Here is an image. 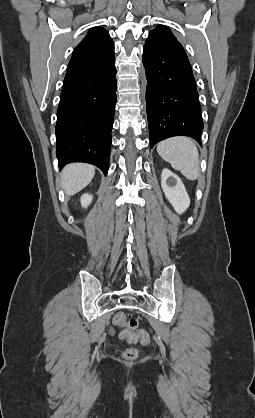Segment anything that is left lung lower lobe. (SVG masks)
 Segmentation results:
<instances>
[{
	"label": "left lung lower lobe",
	"mask_w": 255,
	"mask_h": 418,
	"mask_svg": "<svg viewBox=\"0 0 255 418\" xmlns=\"http://www.w3.org/2000/svg\"><path fill=\"white\" fill-rule=\"evenodd\" d=\"M150 147L178 135L201 143L203 130L196 82L180 43L160 45L146 40L143 49Z\"/></svg>",
	"instance_id": "0a47b994"
}]
</instances>
